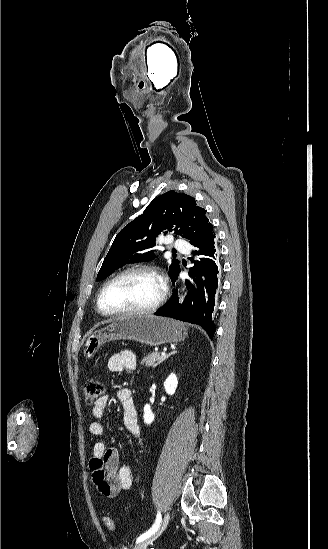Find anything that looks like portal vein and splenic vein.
<instances>
[{
    "label": "portal vein and splenic vein",
    "mask_w": 328,
    "mask_h": 549,
    "mask_svg": "<svg viewBox=\"0 0 328 549\" xmlns=\"http://www.w3.org/2000/svg\"><path fill=\"white\" fill-rule=\"evenodd\" d=\"M161 357H166V353H161Z\"/></svg>",
    "instance_id": "18ae733b"
}]
</instances>
